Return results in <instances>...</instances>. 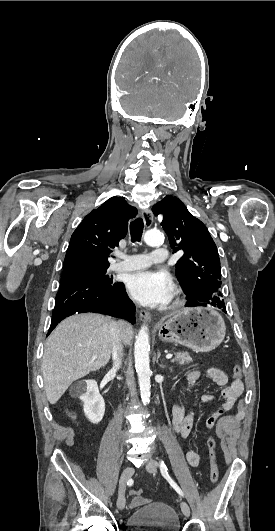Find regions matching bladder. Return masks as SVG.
Returning a JSON list of instances; mask_svg holds the SVG:
<instances>
[{"mask_svg": "<svg viewBox=\"0 0 275 531\" xmlns=\"http://www.w3.org/2000/svg\"><path fill=\"white\" fill-rule=\"evenodd\" d=\"M130 531H179L180 522L169 505L156 501L136 509L129 517Z\"/></svg>", "mask_w": 275, "mask_h": 531, "instance_id": "1", "label": "bladder"}]
</instances>
